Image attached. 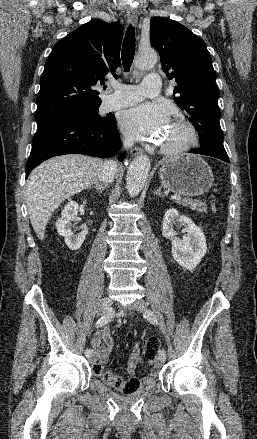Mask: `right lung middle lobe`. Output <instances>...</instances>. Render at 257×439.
<instances>
[{
  "label": "right lung middle lobe",
  "mask_w": 257,
  "mask_h": 439,
  "mask_svg": "<svg viewBox=\"0 0 257 439\" xmlns=\"http://www.w3.org/2000/svg\"><path fill=\"white\" fill-rule=\"evenodd\" d=\"M98 107H92V108H86V109H80L74 112H71L69 114L66 115H75V116H80L83 118H87L91 121L94 122H106L109 120L108 117H100V115H98Z\"/></svg>",
  "instance_id": "dd1d6c3e"
}]
</instances>
